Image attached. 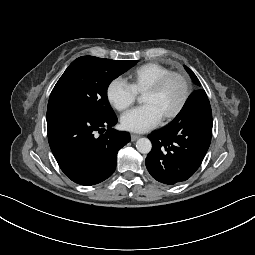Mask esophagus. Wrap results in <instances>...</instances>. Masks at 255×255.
<instances>
[{"instance_id": "obj_1", "label": "esophagus", "mask_w": 255, "mask_h": 255, "mask_svg": "<svg viewBox=\"0 0 255 255\" xmlns=\"http://www.w3.org/2000/svg\"><path fill=\"white\" fill-rule=\"evenodd\" d=\"M139 137V135L131 134V141H136Z\"/></svg>"}]
</instances>
